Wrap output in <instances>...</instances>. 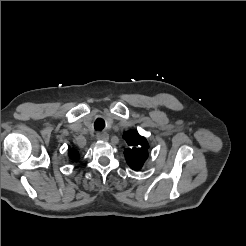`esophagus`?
Masks as SVG:
<instances>
[{
    "label": "esophagus",
    "instance_id": "esophagus-1",
    "mask_svg": "<svg viewBox=\"0 0 246 246\" xmlns=\"http://www.w3.org/2000/svg\"><path fill=\"white\" fill-rule=\"evenodd\" d=\"M96 139L106 141L109 139V135L106 132L98 133Z\"/></svg>",
    "mask_w": 246,
    "mask_h": 246
}]
</instances>
